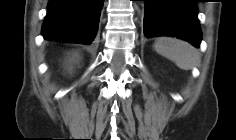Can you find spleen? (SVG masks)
Returning <instances> with one entry per match:
<instances>
[{
  "mask_svg": "<svg viewBox=\"0 0 236 140\" xmlns=\"http://www.w3.org/2000/svg\"><path fill=\"white\" fill-rule=\"evenodd\" d=\"M154 49L183 70H190L200 63L198 51L189 43L179 39L159 38L154 44Z\"/></svg>",
  "mask_w": 236,
  "mask_h": 140,
  "instance_id": "obj_1",
  "label": "spleen"
}]
</instances>
